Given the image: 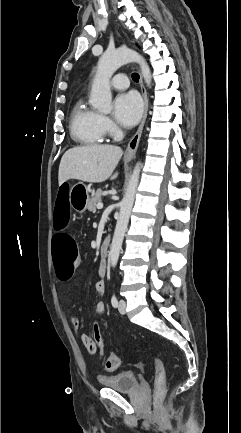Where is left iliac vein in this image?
Wrapping results in <instances>:
<instances>
[{
    "label": "left iliac vein",
    "mask_w": 241,
    "mask_h": 433,
    "mask_svg": "<svg viewBox=\"0 0 241 433\" xmlns=\"http://www.w3.org/2000/svg\"><path fill=\"white\" fill-rule=\"evenodd\" d=\"M118 310H119V312L121 314H125L126 313V302H125V300L121 299L119 301Z\"/></svg>",
    "instance_id": "obj_1"
}]
</instances>
